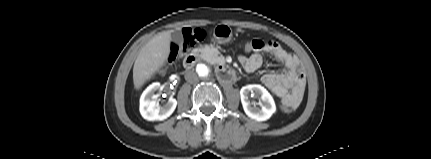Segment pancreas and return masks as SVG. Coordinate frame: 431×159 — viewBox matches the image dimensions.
Masks as SVG:
<instances>
[{
	"instance_id": "1",
	"label": "pancreas",
	"mask_w": 431,
	"mask_h": 159,
	"mask_svg": "<svg viewBox=\"0 0 431 159\" xmlns=\"http://www.w3.org/2000/svg\"><path fill=\"white\" fill-rule=\"evenodd\" d=\"M199 51L201 53L202 58L210 63H216L221 58L219 57L220 52L216 48L208 45L201 47Z\"/></svg>"
}]
</instances>
